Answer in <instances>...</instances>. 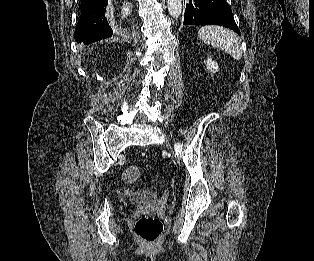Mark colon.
<instances>
[{
  "instance_id": "1",
  "label": "colon",
  "mask_w": 314,
  "mask_h": 261,
  "mask_svg": "<svg viewBox=\"0 0 314 261\" xmlns=\"http://www.w3.org/2000/svg\"><path fill=\"white\" fill-rule=\"evenodd\" d=\"M140 176V171L135 166H129L123 171V180L134 183ZM164 226L162 221L151 215L141 216L134 225L135 234L146 243L156 242L162 235Z\"/></svg>"
}]
</instances>
